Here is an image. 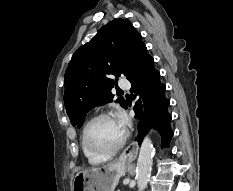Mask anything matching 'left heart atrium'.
I'll use <instances>...</instances> for the list:
<instances>
[{
    "label": "left heart atrium",
    "instance_id": "1",
    "mask_svg": "<svg viewBox=\"0 0 233 191\" xmlns=\"http://www.w3.org/2000/svg\"><path fill=\"white\" fill-rule=\"evenodd\" d=\"M117 122L119 123V125L121 126V128L124 130H126L127 124H128V120L124 115H119Z\"/></svg>",
    "mask_w": 233,
    "mask_h": 191
}]
</instances>
